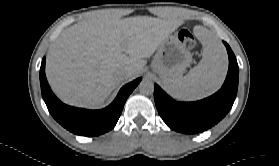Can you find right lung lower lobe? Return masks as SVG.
<instances>
[{
	"mask_svg": "<svg viewBox=\"0 0 279 166\" xmlns=\"http://www.w3.org/2000/svg\"><path fill=\"white\" fill-rule=\"evenodd\" d=\"M140 81L141 78H138L123 86L108 107L102 110H86L74 108L59 101L52 93L45 78V58H43L40 68L42 97L51 115L67 130L88 137L108 132L115 126L128 96Z\"/></svg>",
	"mask_w": 279,
	"mask_h": 166,
	"instance_id": "right-lung-lower-lobe-1",
	"label": "right lung lower lobe"
}]
</instances>
